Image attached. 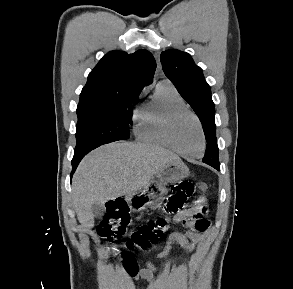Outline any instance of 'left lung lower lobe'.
<instances>
[{
	"label": "left lung lower lobe",
	"instance_id": "1",
	"mask_svg": "<svg viewBox=\"0 0 293 289\" xmlns=\"http://www.w3.org/2000/svg\"><path fill=\"white\" fill-rule=\"evenodd\" d=\"M214 145H215V143L212 140L211 141H208L207 142V148L206 149L212 148ZM212 167H214L218 171L220 170V166L219 165L212 166Z\"/></svg>",
	"mask_w": 293,
	"mask_h": 289
}]
</instances>
